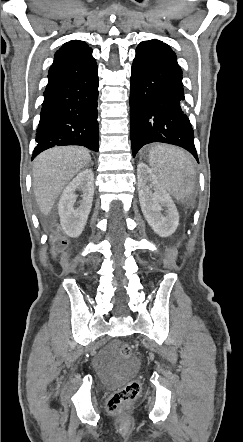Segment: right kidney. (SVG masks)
Here are the masks:
<instances>
[{"label": "right kidney", "instance_id": "obj_1", "mask_svg": "<svg viewBox=\"0 0 243 442\" xmlns=\"http://www.w3.org/2000/svg\"><path fill=\"white\" fill-rule=\"evenodd\" d=\"M78 189L83 195L76 208L75 191ZM93 195L94 173L91 169L81 171L64 189L58 203V213L61 226L68 236L78 237L82 233L91 211Z\"/></svg>", "mask_w": 243, "mask_h": 442}]
</instances>
